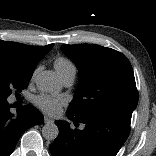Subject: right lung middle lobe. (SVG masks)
<instances>
[{"mask_svg":"<svg viewBox=\"0 0 156 156\" xmlns=\"http://www.w3.org/2000/svg\"><path fill=\"white\" fill-rule=\"evenodd\" d=\"M32 74L25 73L8 63L0 60V97L7 98L13 90L21 92L26 88Z\"/></svg>","mask_w":156,"mask_h":156,"instance_id":"right-lung-middle-lobe-1","label":"right lung middle lobe"}]
</instances>
